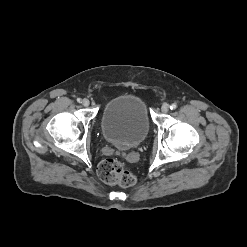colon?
Here are the masks:
<instances>
[{
    "label": "colon",
    "instance_id": "1",
    "mask_svg": "<svg viewBox=\"0 0 247 247\" xmlns=\"http://www.w3.org/2000/svg\"><path fill=\"white\" fill-rule=\"evenodd\" d=\"M97 173L99 178L109 184L121 187L132 186L136 178L125 165L117 159H105L98 165Z\"/></svg>",
    "mask_w": 247,
    "mask_h": 247
}]
</instances>
